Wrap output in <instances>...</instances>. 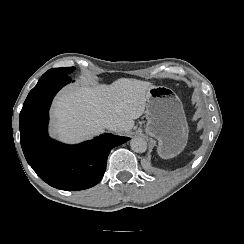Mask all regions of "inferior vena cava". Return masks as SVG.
<instances>
[{
	"mask_svg": "<svg viewBox=\"0 0 244 244\" xmlns=\"http://www.w3.org/2000/svg\"><path fill=\"white\" fill-rule=\"evenodd\" d=\"M102 123L105 128L111 131H119L121 127L119 123L112 120H102Z\"/></svg>",
	"mask_w": 244,
	"mask_h": 244,
	"instance_id": "obj_1",
	"label": "inferior vena cava"
}]
</instances>
